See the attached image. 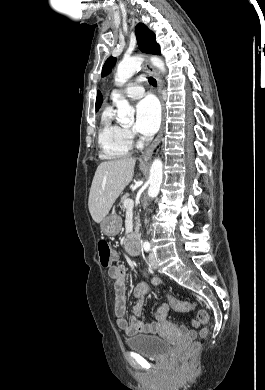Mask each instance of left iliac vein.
Returning <instances> with one entry per match:
<instances>
[{
    "mask_svg": "<svg viewBox=\"0 0 265 390\" xmlns=\"http://www.w3.org/2000/svg\"><path fill=\"white\" fill-rule=\"evenodd\" d=\"M149 263L152 268H157V263L155 259V255L153 253L149 254Z\"/></svg>",
    "mask_w": 265,
    "mask_h": 390,
    "instance_id": "4c4485c4",
    "label": "left iliac vein"
}]
</instances>
